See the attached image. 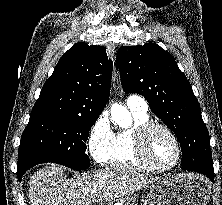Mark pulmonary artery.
<instances>
[{
	"mask_svg": "<svg viewBox=\"0 0 222 205\" xmlns=\"http://www.w3.org/2000/svg\"><path fill=\"white\" fill-rule=\"evenodd\" d=\"M126 104L130 109L147 112L148 103L147 101L138 95H130L126 99Z\"/></svg>",
	"mask_w": 222,
	"mask_h": 205,
	"instance_id": "obj_1",
	"label": "pulmonary artery"
}]
</instances>
